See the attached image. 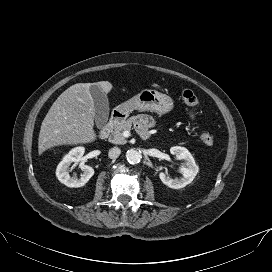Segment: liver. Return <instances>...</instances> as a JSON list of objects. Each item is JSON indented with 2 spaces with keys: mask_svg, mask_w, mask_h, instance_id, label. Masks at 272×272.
Masks as SVG:
<instances>
[{
  "mask_svg": "<svg viewBox=\"0 0 272 272\" xmlns=\"http://www.w3.org/2000/svg\"><path fill=\"white\" fill-rule=\"evenodd\" d=\"M93 83H77L66 89L52 104L45 116L38 138V153L60 145H77L96 140L94 132L95 105L90 93ZM97 84L104 93L112 84Z\"/></svg>",
  "mask_w": 272,
  "mask_h": 272,
  "instance_id": "6515ba94",
  "label": "liver"
}]
</instances>
